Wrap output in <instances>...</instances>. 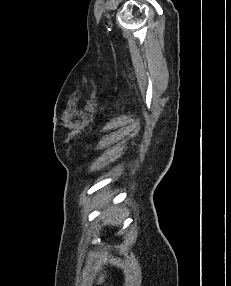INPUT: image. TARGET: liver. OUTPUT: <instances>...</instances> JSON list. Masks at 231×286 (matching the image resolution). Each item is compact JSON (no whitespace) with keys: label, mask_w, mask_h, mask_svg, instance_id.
I'll use <instances>...</instances> for the list:
<instances>
[{"label":"liver","mask_w":231,"mask_h":286,"mask_svg":"<svg viewBox=\"0 0 231 286\" xmlns=\"http://www.w3.org/2000/svg\"><path fill=\"white\" fill-rule=\"evenodd\" d=\"M104 278L105 276L104 275H101L98 279V283H103L104 282Z\"/></svg>","instance_id":"liver-1"}]
</instances>
